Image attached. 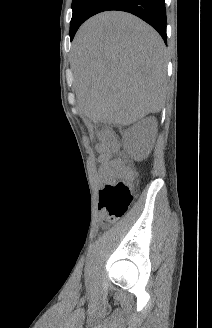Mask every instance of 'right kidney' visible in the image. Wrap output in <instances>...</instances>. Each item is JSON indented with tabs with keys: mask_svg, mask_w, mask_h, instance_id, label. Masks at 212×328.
Returning a JSON list of instances; mask_svg holds the SVG:
<instances>
[{
	"mask_svg": "<svg viewBox=\"0 0 212 328\" xmlns=\"http://www.w3.org/2000/svg\"><path fill=\"white\" fill-rule=\"evenodd\" d=\"M157 132V121L148 117L131 129L130 148L134 154L141 152L147 145L149 138Z\"/></svg>",
	"mask_w": 212,
	"mask_h": 328,
	"instance_id": "ca27d5eb",
	"label": "right kidney"
}]
</instances>
